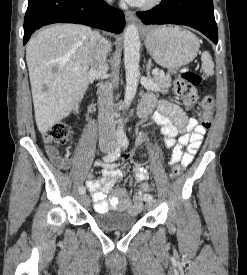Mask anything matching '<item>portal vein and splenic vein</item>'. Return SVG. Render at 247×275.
Listing matches in <instances>:
<instances>
[{"instance_id":"18ae733b","label":"portal vein and splenic vein","mask_w":247,"mask_h":275,"mask_svg":"<svg viewBox=\"0 0 247 275\" xmlns=\"http://www.w3.org/2000/svg\"><path fill=\"white\" fill-rule=\"evenodd\" d=\"M152 74L156 76V75L159 74V71H158L157 69H154V70L152 71Z\"/></svg>"}]
</instances>
